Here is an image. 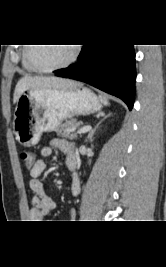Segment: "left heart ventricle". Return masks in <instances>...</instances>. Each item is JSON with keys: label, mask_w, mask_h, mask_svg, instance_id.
I'll return each instance as SVG.
<instances>
[{"label": "left heart ventricle", "mask_w": 166, "mask_h": 267, "mask_svg": "<svg viewBox=\"0 0 166 267\" xmlns=\"http://www.w3.org/2000/svg\"><path fill=\"white\" fill-rule=\"evenodd\" d=\"M71 46H35L32 50V57L35 63L42 67H52L65 62L71 55Z\"/></svg>", "instance_id": "left-heart-ventricle-1"}]
</instances>
